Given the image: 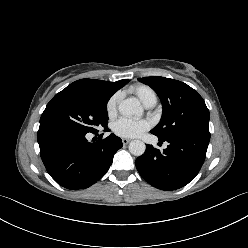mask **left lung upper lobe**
<instances>
[{"label":"left lung upper lobe","instance_id":"left-lung-upper-lobe-1","mask_svg":"<svg viewBox=\"0 0 248 248\" xmlns=\"http://www.w3.org/2000/svg\"><path fill=\"white\" fill-rule=\"evenodd\" d=\"M138 80L149 85L161 99L162 118L151 131L158 138L164 140L181 133H209V110L193 88L165 77L153 76Z\"/></svg>","mask_w":248,"mask_h":248}]
</instances>
